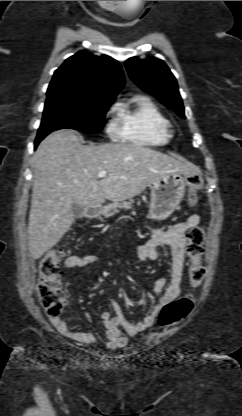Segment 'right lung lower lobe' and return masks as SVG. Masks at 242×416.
Instances as JSON below:
<instances>
[{"label": "right lung lower lobe", "instance_id": "obj_1", "mask_svg": "<svg viewBox=\"0 0 242 416\" xmlns=\"http://www.w3.org/2000/svg\"><path fill=\"white\" fill-rule=\"evenodd\" d=\"M42 139H43V138H41V139L36 138V140H35V148L38 146L39 142H40Z\"/></svg>", "mask_w": 242, "mask_h": 416}]
</instances>
